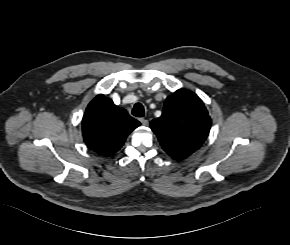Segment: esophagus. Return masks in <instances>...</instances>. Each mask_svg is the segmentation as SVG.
Returning <instances> with one entry per match:
<instances>
[{
  "label": "esophagus",
  "instance_id": "obj_1",
  "mask_svg": "<svg viewBox=\"0 0 290 245\" xmlns=\"http://www.w3.org/2000/svg\"><path fill=\"white\" fill-rule=\"evenodd\" d=\"M139 121L141 122V124H142L143 126H147V125H148V120H147V119L140 118Z\"/></svg>",
  "mask_w": 290,
  "mask_h": 245
}]
</instances>
